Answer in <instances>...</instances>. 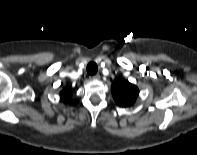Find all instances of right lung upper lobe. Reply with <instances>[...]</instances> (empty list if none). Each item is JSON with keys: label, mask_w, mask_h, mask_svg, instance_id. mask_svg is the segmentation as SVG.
Instances as JSON below:
<instances>
[{"label": "right lung upper lobe", "mask_w": 197, "mask_h": 155, "mask_svg": "<svg viewBox=\"0 0 197 155\" xmlns=\"http://www.w3.org/2000/svg\"><path fill=\"white\" fill-rule=\"evenodd\" d=\"M60 96H61L62 100L69 101L72 97V92L69 89H64L61 91Z\"/></svg>", "instance_id": "right-lung-upper-lobe-1"}]
</instances>
